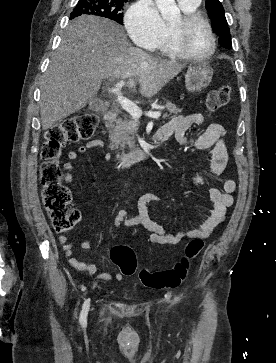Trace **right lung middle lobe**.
Wrapping results in <instances>:
<instances>
[{
    "label": "right lung middle lobe",
    "instance_id": "1",
    "mask_svg": "<svg viewBox=\"0 0 276 363\" xmlns=\"http://www.w3.org/2000/svg\"><path fill=\"white\" fill-rule=\"evenodd\" d=\"M126 2L118 0H79L70 15V19L86 14L109 18L123 24L122 11Z\"/></svg>",
    "mask_w": 276,
    "mask_h": 363
}]
</instances>
